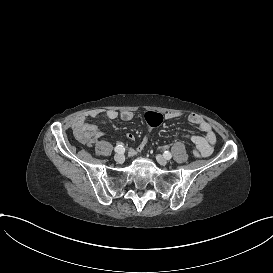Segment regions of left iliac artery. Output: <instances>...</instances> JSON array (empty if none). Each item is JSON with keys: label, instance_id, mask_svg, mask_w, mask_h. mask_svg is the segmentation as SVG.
Listing matches in <instances>:
<instances>
[{"label": "left iliac artery", "instance_id": "left-iliac-artery-1", "mask_svg": "<svg viewBox=\"0 0 273 273\" xmlns=\"http://www.w3.org/2000/svg\"><path fill=\"white\" fill-rule=\"evenodd\" d=\"M164 157H165L167 160H169V159H171L172 155H171V153H170V152L165 151V153H164Z\"/></svg>", "mask_w": 273, "mask_h": 273}]
</instances>
